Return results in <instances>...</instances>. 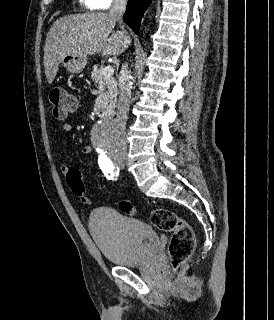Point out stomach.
<instances>
[{"instance_id":"stomach-1","label":"stomach","mask_w":274,"mask_h":320,"mask_svg":"<svg viewBox=\"0 0 274 320\" xmlns=\"http://www.w3.org/2000/svg\"><path fill=\"white\" fill-rule=\"evenodd\" d=\"M63 68L70 70L73 74H80L87 64V58H79V56H64L61 62Z\"/></svg>"}]
</instances>
